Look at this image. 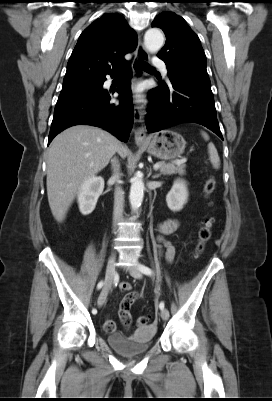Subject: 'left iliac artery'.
<instances>
[{"label":"left iliac artery","mask_w":272,"mask_h":401,"mask_svg":"<svg viewBox=\"0 0 272 401\" xmlns=\"http://www.w3.org/2000/svg\"><path fill=\"white\" fill-rule=\"evenodd\" d=\"M139 270H140L142 273H144L145 275H148V276L153 275V271H152L149 267H147V266H145V265H139ZM159 307H160V309H164V302H161V303L159 304Z\"/></svg>","instance_id":"1"}]
</instances>
